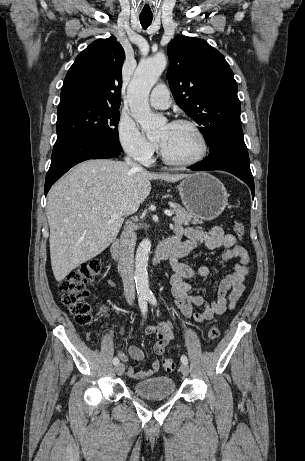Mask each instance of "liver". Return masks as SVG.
Here are the masks:
<instances>
[{"label":"liver","instance_id":"1","mask_svg":"<svg viewBox=\"0 0 305 461\" xmlns=\"http://www.w3.org/2000/svg\"><path fill=\"white\" fill-rule=\"evenodd\" d=\"M187 176L133 171L126 163L113 160H88L75 166L51 188L47 198L55 279L62 281L115 240L123 216L135 213L149 195L150 180L177 182Z\"/></svg>","mask_w":305,"mask_h":461}]
</instances>
